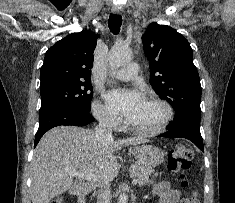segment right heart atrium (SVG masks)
Returning a JSON list of instances; mask_svg holds the SVG:
<instances>
[{
	"instance_id": "d8ad5b80",
	"label": "right heart atrium",
	"mask_w": 235,
	"mask_h": 203,
	"mask_svg": "<svg viewBox=\"0 0 235 203\" xmlns=\"http://www.w3.org/2000/svg\"><path fill=\"white\" fill-rule=\"evenodd\" d=\"M93 114L96 119L106 127L117 128L119 126V118L116 114L111 112L102 103L95 102L93 104Z\"/></svg>"
}]
</instances>
